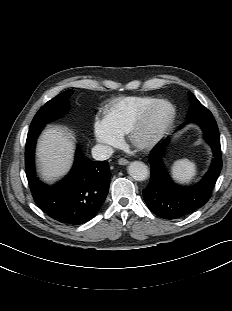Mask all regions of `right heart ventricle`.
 Here are the masks:
<instances>
[{
    "label": "right heart ventricle",
    "mask_w": 232,
    "mask_h": 311,
    "mask_svg": "<svg viewBox=\"0 0 232 311\" xmlns=\"http://www.w3.org/2000/svg\"><path fill=\"white\" fill-rule=\"evenodd\" d=\"M156 100L152 96L118 98L107 108L104 120L116 134L125 135L140 113Z\"/></svg>",
    "instance_id": "right-heart-ventricle-1"
}]
</instances>
